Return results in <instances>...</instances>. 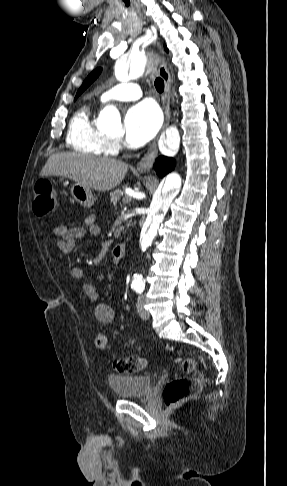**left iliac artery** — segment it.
Instances as JSON below:
<instances>
[{
  "label": "left iliac artery",
  "mask_w": 287,
  "mask_h": 486,
  "mask_svg": "<svg viewBox=\"0 0 287 486\" xmlns=\"http://www.w3.org/2000/svg\"><path fill=\"white\" fill-rule=\"evenodd\" d=\"M135 290H136V292L141 294L144 290V287L143 286H137V287H135Z\"/></svg>",
  "instance_id": "left-iliac-artery-1"
}]
</instances>
